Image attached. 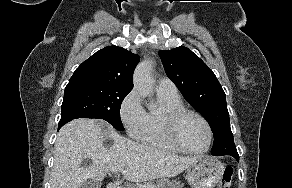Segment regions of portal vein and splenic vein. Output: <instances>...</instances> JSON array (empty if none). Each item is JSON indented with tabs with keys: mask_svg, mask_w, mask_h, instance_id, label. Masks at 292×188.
I'll use <instances>...</instances> for the list:
<instances>
[{
	"mask_svg": "<svg viewBox=\"0 0 292 188\" xmlns=\"http://www.w3.org/2000/svg\"><path fill=\"white\" fill-rule=\"evenodd\" d=\"M122 170H123V168H121V167H113L110 171L111 172H120ZM147 188H152V187L148 186Z\"/></svg>",
	"mask_w": 292,
	"mask_h": 188,
	"instance_id": "1",
	"label": "portal vein and splenic vein"
}]
</instances>
